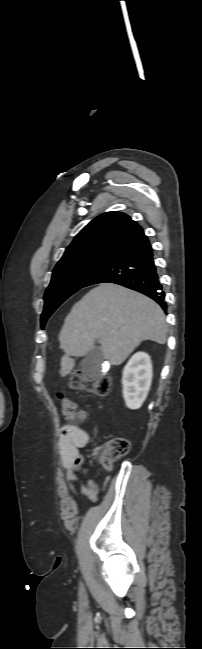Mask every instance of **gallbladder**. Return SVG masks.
I'll return each mask as SVG.
<instances>
[{"instance_id": "1", "label": "gallbladder", "mask_w": 202, "mask_h": 649, "mask_svg": "<svg viewBox=\"0 0 202 649\" xmlns=\"http://www.w3.org/2000/svg\"><path fill=\"white\" fill-rule=\"evenodd\" d=\"M103 353L101 347L95 345L81 361V369L88 377H98L102 373Z\"/></svg>"}]
</instances>
